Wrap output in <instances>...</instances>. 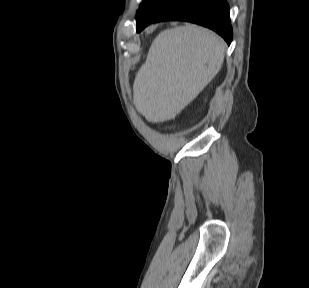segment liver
Here are the masks:
<instances>
[{"label":"liver","instance_id":"liver-1","mask_svg":"<svg viewBox=\"0 0 309 288\" xmlns=\"http://www.w3.org/2000/svg\"><path fill=\"white\" fill-rule=\"evenodd\" d=\"M225 50L218 35L198 25L162 31L135 77L137 111L153 123L174 119L219 72Z\"/></svg>","mask_w":309,"mask_h":288}]
</instances>
